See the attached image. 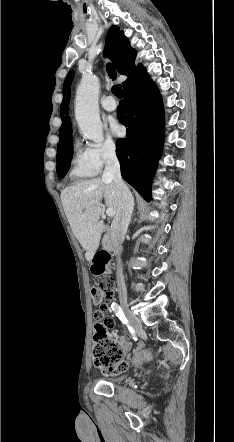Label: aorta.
I'll use <instances>...</instances> for the list:
<instances>
[{
  "label": "aorta",
  "mask_w": 234,
  "mask_h": 442,
  "mask_svg": "<svg viewBox=\"0 0 234 442\" xmlns=\"http://www.w3.org/2000/svg\"><path fill=\"white\" fill-rule=\"evenodd\" d=\"M99 81L85 76L76 93L75 116L82 134L95 142L103 140L102 123L98 110Z\"/></svg>",
  "instance_id": "aorta-1"
}]
</instances>
